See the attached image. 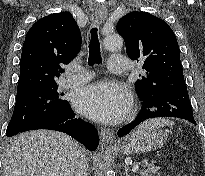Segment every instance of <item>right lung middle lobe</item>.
<instances>
[{"label": "right lung middle lobe", "mask_w": 205, "mask_h": 176, "mask_svg": "<svg viewBox=\"0 0 205 176\" xmlns=\"http://www.w3.org/2000/svg\"><path fill=\"white\" fill-rule=\"evenodd\" d=\"M57 89L58 86L56 85L17 95L14 112L7 127L6 135L8 137L16 135L36 119L55 109L66 106L68 102L60 98L63 94H60Z\"/></svg>", "instance_id": "1"}]
</instances>
